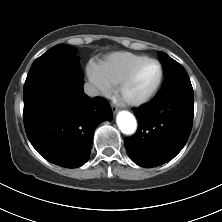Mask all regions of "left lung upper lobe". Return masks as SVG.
Returning <instances> with one entry per match:
<instances>
[{
	"label": "left lung upper lobe",
	"mask_w": 222,
	"mask_h": 222,
	"mask_svg": "<svg viewBox=\"0 0 222 222\" xmlns=\"http://www.w3.org/2000/svg\"><path fill=\"white\" fill-rule=\"evenodd\" d=\"M158 55L163 65L165 77L162 88L175 85H191L189 76L181 64L164 52L160 51Z\"/></svg>",
	"instance_id": "5c2ea615"
}]
</instances>
